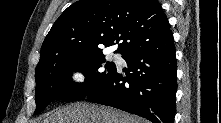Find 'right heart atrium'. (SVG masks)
I'll use <instances>...</instances> for the list:
<instances>
[{"instance_id": "d8ad5b80", "label": "right heart atrium", "mask_w": 221, "mask_h": 123, "mask_svg": "<svg viewBox=\"0 0 221 123\" xmlns=\"http://www.w3.org/2000/svg\"><path fill=\"white\" fill-rule=\"evenodd\" d=\"M69 78L74 83H82L85 80V75L81 70H74L70 73Z\"/></svg>"}]
</instances>
